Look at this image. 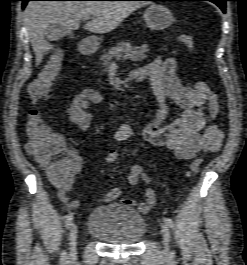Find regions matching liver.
Returning a JSON list of instances; mask_svg holds the SVG:
<instances>
[{
  "label": "liver",
  "mask_w": 247,
  "mask_h": 265,
  "mask_svg": "<svg viewBox=\"0 0 247 265\" xmlns=\"http://www.w3.org/2000/svg\"><path fill=\"white\" fill-rule=\"evenodd\" d=\"M141 1H30L24 13L36 64L42 61L45 52L53 48L44 38L48 26L57 24L76 30L80 20L92 16L84 29L105 34L116 29L132 12L146 5Z\"/></svg>",
  "instance_id": "liver-1"
}]
</instances>
